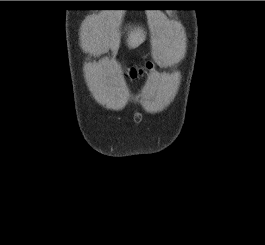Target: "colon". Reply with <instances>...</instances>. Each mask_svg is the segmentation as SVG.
<instances>
[{
    "label": "colon",
    "instance_id": "5ec220e1",
    "mask_svg": "<svg viewBox=\"0 0 265 245\" xmlns=\"http://www.w3.org/2000/svg\"><path fill=\"white\" fill-rule=\"evenodd\" d=\"M138 75V70L137 69H133L131 72V76L132 77H136Z\"/></svg>",
    "mask_w": 265,
    "mask_h": 245
}]
</instances>
